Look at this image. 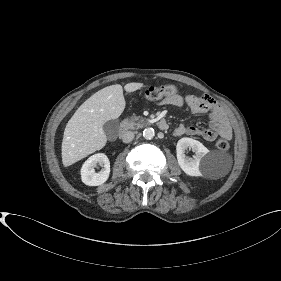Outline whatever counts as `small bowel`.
Segmentation results:
<instances>
[{"label":"small bowel","mask_w":281,"mask_h":281,"mask_svg":"<svg viewBox=\"0 0 281 281\" xmlns=\"http://www.w3.org/2000/svg\"><path fill=\"white\" fill-rule=\"evenodd\" d=\"M161 104L174 107L187 106L194 114H209V128L201 129L196 126L181 124L174 130L175 136L190 135L201 137L207 141H213L217 136H221L225 139L232 138L231 127L225 113L210 96L173 94L165 97Z\"/></svg>","instance_id":"obj_1"}]
</instances>
